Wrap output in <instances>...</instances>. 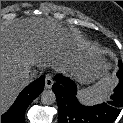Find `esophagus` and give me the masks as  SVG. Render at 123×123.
<instances>
[{"label": "esophagus", "instance_id": "1", "mask_svg": "<svg viewBox=\"0 0 123 123\" xmlns=\"http://www.w3.org/2000/svg\"><path fill=\"white\" fill-rule=\"evenodd\" d=\"M53 85V79L50 75H46V78H45V87L47 89H50Z\"/></svg>", "mask_w": 123, "mask_h": 123}]
</instances>
